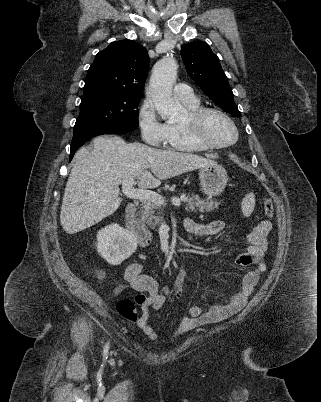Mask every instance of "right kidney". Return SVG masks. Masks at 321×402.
Masks as SVG:
<instances>
[{
	"label": "right kidney",
	"instance_id": "ca27d5eb",
	"mask_svg": "<svg viewBox=\"0 0 321 402\" xmlns=\"http://www.w3.org/2000/svg\"><path fill=\"white\" fill-rule=\"evenodd\" d=\"M136 249V237L119 224H110L97 234V251L110 265L121 264Z\"/></svg>",
	"mask_w": 321,
	"mask_h": 402
}]
</instances>
